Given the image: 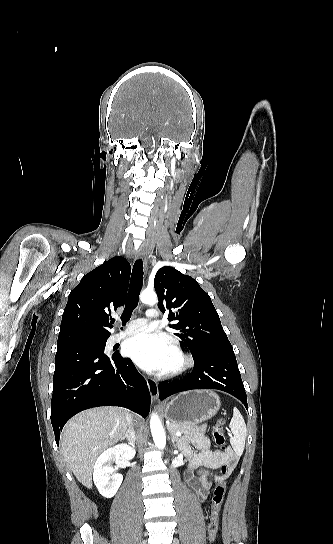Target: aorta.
Returning a JSON list of instances; mask_svg holds the SVG:
<instances>
[{"mask_svg":"<svg viewBox=\"0 0 333 544\" xmlns=\"http://www.w3.org/2000/svg\"><path fill=\"white\" fill-rule=\"evenodd\" d=\"M140 300L145 304L154 305L157 302V295L153 290L146 289L140 294ZM150 428L155 445L163 449L166 446V436L157 414L151 415Z\"/></svg>","mask_w":333,"mask_h":544,"instance_id":"aorta-1","label":"aorta"}]
</instances>
